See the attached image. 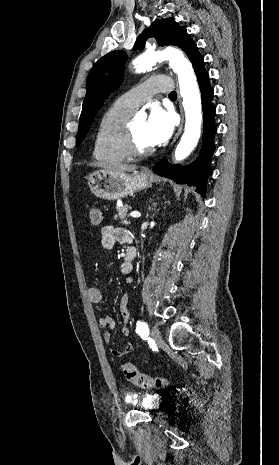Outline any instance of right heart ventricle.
<instances>
[{
    "label": "right heart ventricle",
    "mask_w": 279,
    "mask_h": 465,
    "mask_svg": "<svg viewBox=\"0 0 279 465\" xmlns=\"http://www.w3.org/2000/svg\"><path fill=\"white\" fill-rule=\"evenodd\" d=\"M132 112L117 102L104 112L94 140L93 157L96 160L108 163L122 161L126 158L118 147V140Z\"/></svg>",
    "instance_id": "obj_1"
}]
</instances>
